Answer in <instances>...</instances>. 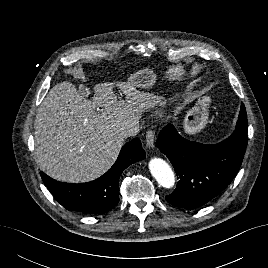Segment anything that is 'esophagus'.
<instances>
[{
  "label": "esophagus",
  "instance_id": "34e87169",
  "mask_svg": "<svg viewBox=\"0 0 268 268\" xmlns=\"http://www.w3.org/2000/svg\"><path fill=\"white\" fill-rule=\"evenodd\" d=\"M155 133L152 129H148L145 135V142L148 148L154 147Z\"/></svg>",
  "mask_w": 268,
  "mask_h": 268
}]
</instances>
